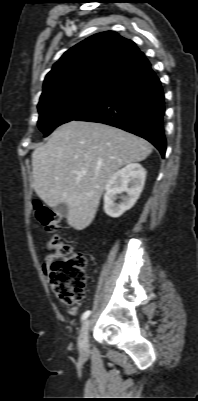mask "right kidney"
I'll return each mask as SVG.
<instances>
[{
  "mask_svg": "<svg viewBox=\"0 0 198 401\" xmlns=\"http://www.w3.org/2000/svg\"><path fill=\"white\" fill-rule=\"evenodd\" d=\"M146 173L140 164L131 163L110 177L104 195V211L108 216L118 218L133 207L143 190ZM123 192L127 195L121 197V203H116Z\"/></svg>",
  "mask_w": 198,
  "mask_h": 401,
  "instance_id": "1",
  "label": "right kidney"
}]
</instances>
